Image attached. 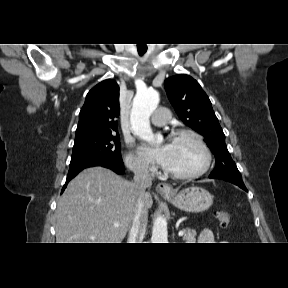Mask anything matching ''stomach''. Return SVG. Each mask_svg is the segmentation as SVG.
Here are the masks:
<instances>
[{
    "mask_svg": "<svg viewBox=\"0 0 288 288\" xmlns=\"http://www.w3.org/2000/svg\"><path fill=\"white\" fill-rule=\"evenodd\" d=\"M175 207L186 212H201L213 204V196L202 187L192 186L175 195H163Z\"/></svg>",
    "mask_w": 288,
    "mask_h": 288,
    "instance_id": "0dacf381",
    "label": "stomach"
}]
</instances>
